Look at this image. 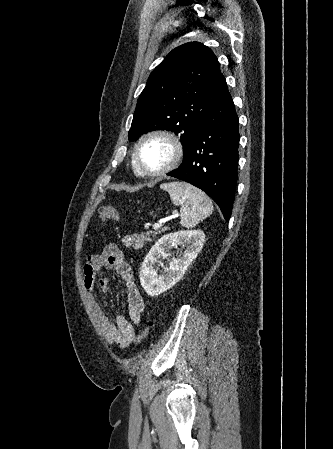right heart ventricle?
Returning <instances> with one entry per match:
<instances>
[{"label":"right heart ventricle","instance_id":"right-heart-ventricle-1","mask_svg":"<svg viewBox=\"0 0 333 449\" xmlns=\"http://www.w3.org/2000/svg\"><path fill=\"white\" fill-rule=\"evenodd\" d=\"M132 169H133V172L136 174V175H138L139 176V173H138V171H137V168H136V165H135V163H134V160L132 159Z\"/></svg>","mask_w":333,"mask_h":449}]
</instances>
